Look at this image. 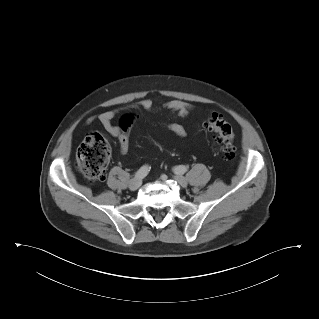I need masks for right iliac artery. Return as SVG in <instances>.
Returning a JSON list of instances; mask_svg holds the SVG:
<instances>
[{
    "label": "right iliac artery",
    "instance_id": "right-iliac-artery-1",
    "mask_svg": "<svg viewBox=\"0 0 319 319\" xmlns=\"http://www.w3.org/2000/svg\"><path fill=\"white\" fill-rule=\"evenodd\" d=\"M150 167L148 165H143L136 173L135 178H144L148 172Z\"/></svg>",
    "mask_w": 319,
    "mask_h": 319
}]
</instances>
